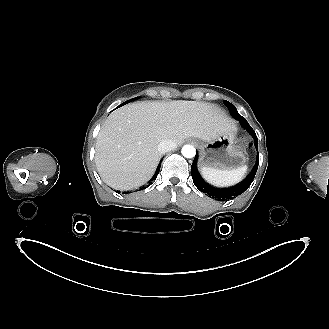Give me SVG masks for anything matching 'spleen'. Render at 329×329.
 Listing matches in <instances>:
<instances>
[{
    "mask_svg": "<svg viewBox=\"0 0 329 329\" xmlns=\"http://www.w3.org/2000/svg\"><path fill=\"white\" fill-rule=\"evenodd\" d=\"M247 170V166L229 171L202 168L201 174L208 183L214 186L229 187L239 183L246 175Z\"/></svg>",
    "mask_w": 329,
    "mask_h": 329,
    "instance_id": "3e777b00",
    "label": "spleen"
}]
</instances>
